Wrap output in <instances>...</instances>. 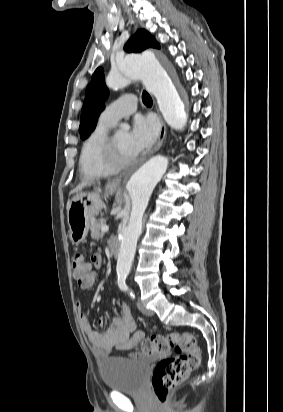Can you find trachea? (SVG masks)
<instances>
[{"label":"trachea","mask_w":283,"mask_h":412,"mask_svg":"<svg viewBox=\"0 0 283 412\" xmlns=\"http://www.w3.org/2000/svg\"><path fill=\"white\" fill-rule=\"evenodd\" d=\"M142 101L145 105H151L152 104V98L146 91H143V93H142Z\"/></svg>","instance_id":"trachea-1"}]
</instances>
